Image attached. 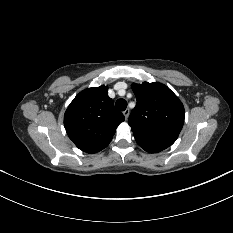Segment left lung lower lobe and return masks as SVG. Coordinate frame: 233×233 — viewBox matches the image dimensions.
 Wrapping results in <instances>:
<instances>
[{
  "label": "left lung lower lobe",
  "instance_id": "left-lung-lower-lobe-1",
  "mask_svg": "<svg viewBox=\"0 0 233 233\" xmlns=\"http://www.w3.org/2000/svg\"><path fill=\"white\" fill-rule=\"evenodd\" d=\"M145 151L149 153H158L166 148H168L170 145L164 144V143H148L144 145H140Z\"/></svg>",
  "mask_w": 233,
  "mask_h": 233
}]
</instances>
